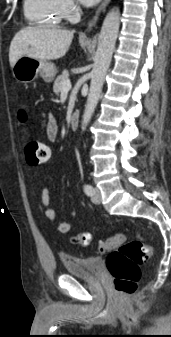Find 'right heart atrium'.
Here are the masks:
<instances>
[{
	"mask_svg": "<svg viewBox=\"0 0 171 337\" xmlns=\"http://www.w3.org/2000/svg\"><path fill=\"white\" fill-rule=\"evenodd\" d=\"M64 18L73 21L77 18L79 13V6L74 0H59Z\"/></svg>",
	"mask_w": 171,
	"mask_h": 337,
	"instance_id": "1",
	"label": "right heart atrium"
}]
</instances>
